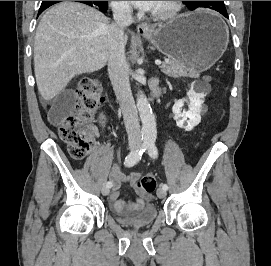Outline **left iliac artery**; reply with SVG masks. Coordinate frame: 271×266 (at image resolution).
<instances>
[{
	"label": "left iliac artery",
	"instance_id": "obj_1",
	"mask_svg": "<svg viewBox=\"0 0 271 266\" xmlns=\"http://www.w3.org/2000/svg\"><path fill=\"white\" fill-rule=\"evenodd\" d=\"M147 150H148V154L150 155V157L152 158H156L158 156V149L155 145V141L154 140H149L148 141V145H147ZM162 188L164 190L168 189L167 184H161Z\"/></svg>",
	"mask_w": 271,
	"mask_h": 266
}]
</instances>
